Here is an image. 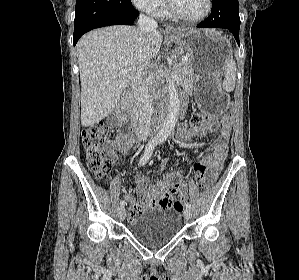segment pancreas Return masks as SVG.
Returning <instances> with one entry per match:
<instances>
[{"instance_id":"pancreas-1","label":"pancreas","mask_w":299,"mask_h":280,"mask_svg":"<svg viewBox=\"0 0 299 280\" xmlns=\"http://www.w3.org/2000/svg\"><path fill=\"white\" fill-rule=\"evenodd\" d=\"M181 75L183 77L185 86L188 89L192 88L195 81V76L190 60L181 64Z\"/></svg>"}]
</instances>
